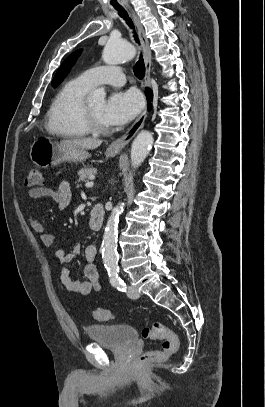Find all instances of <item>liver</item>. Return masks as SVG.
Here are the masks:
<instances>
[{
    "instance_id": "liver-1",
    "label": "liver",
    "mask_w": 265,
    "mask_h": 407,
    "mask_svg": "<svg viewBox=\"0 0 265 407\" xmlns=\"http://www.w3.org/2000/svg\"><path fill=\"white\" fill-rule=\"evenodd\" d=\"M61 144L63 145H73L77 147H82L84 149H96L98 148L101 144L102 141L99 139H92V138H86V139H77V140H63L61 141Z\"/></svg>"
}]
</instances>
